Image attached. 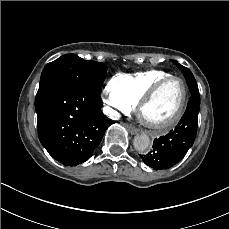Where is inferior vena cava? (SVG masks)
<instances>
[{"mask_svg": "<svg viewBox=\"0 0 229 229\" xmlns=\"http://www.w3.org/2000/svg\"><path fill=\"white\" fill-rule=\"evenodd\" d=\"M109 111H110V110H107V108H106V111H105V112L109 114Z\"/></svg>", "mask_w": 229, "mask_h": 229, "instance_id": "obj_1", "label": "inferior vena cava"}]
</instances>
